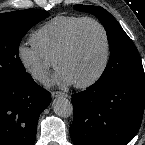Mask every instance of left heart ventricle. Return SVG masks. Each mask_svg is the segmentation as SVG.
<instances>
[{
	"label": "left heart ventricle",
	"instance_id": "1",
	"mask_svg": "<svg viewBox=\"0 0 145 145\" xmlns=\"http://www.w3.org/2000/svg\"><path fill=\"white\" fill-rule=\"evenodd\" d=\"M105 57V44L101 30L92 23L80 26L72 51L58 63L72 83L90 79L101 67Z\"/></svg>",
	"mask_w": 145,
	"mask_h": 145
}]
</instances>
